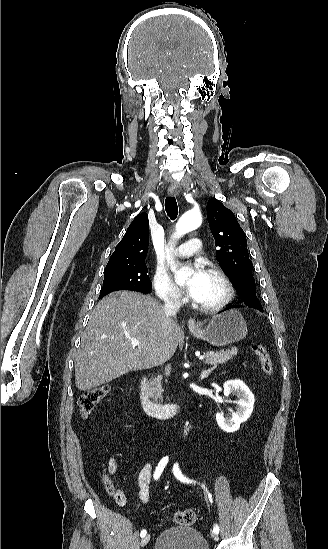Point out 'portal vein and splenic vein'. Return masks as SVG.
I'll return each instance as SVG.
<instances>
[{
  "instance_id": "obj_1",
  "label": "portal vein and splenic vein",
  "mask_w": 328,
  "mask_h": 549,
  "mask_svg": "<svg viewBox=\"0 0 328 549\" xmlns=\"http://www.w3.org/2000/svg\"><path fill=\"white\" fill-rule=\"evenodd\" d=\"M129 341H131V345H133V347H136V345H140L137 339H129ZM205 357H206V354H202V356H199L198 361H201V359H205Z\"/></svg>"
}]
</instances>
